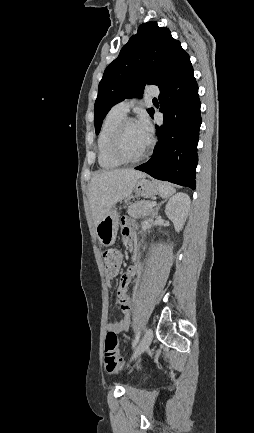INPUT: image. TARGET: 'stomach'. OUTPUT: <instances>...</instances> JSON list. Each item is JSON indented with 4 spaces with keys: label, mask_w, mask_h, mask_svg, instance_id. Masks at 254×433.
<instances>
[{
    "label": "stomach",
    "mask_w": 254,
    "mask_h": 433,
    "mask_svg": "<svg viewBox=\"0 0 254 433\" xmlns=\"http://www.w3.org/2000/svg\"><path fill=\"white\" fill-rule=\"evenodd\" d=\"M133 191L138 196L150 198L159 193V187L156 182L142 177L135 182ZM118 220L117 209L112 208L96 226L98 240L103 246L114 244L118 232Z\"/></svg>",
    "instance_id": "1"
}]
</instances>
